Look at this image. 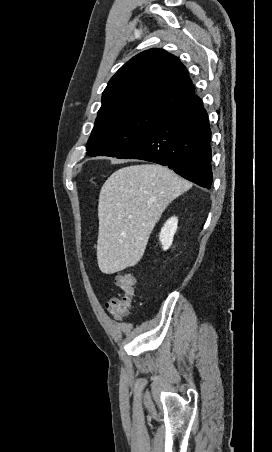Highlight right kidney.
<instances>
[{
    "label": "right kidney",
    "mask_w": 272,
    "mask_h": 452,
    "mask_svg": "<svg viewBox=\"0 0 272 452\" xmlns=\"http://www.w3.org/2000/svg\"><path fill=\"white\" fill-rule=\"evenodd\" d=\"M178 225V218L173 216L169 218L161 229L159 240L164 251L168 250L173 242V237L176 233Z\"/></svg>",
    "instance_id": "obj_1"
}]
</instances>
